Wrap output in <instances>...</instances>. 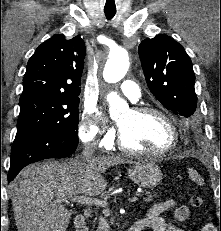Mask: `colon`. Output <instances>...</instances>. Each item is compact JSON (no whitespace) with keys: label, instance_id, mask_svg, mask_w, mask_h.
Here are the masks:
<instances>
[{"label":"colon","instance_id":"5ec220e1","mask_svg":"<svg viewBox=\"0 0 221 231\" xmlns=\"http://www.w3.org/2000/svg\"><path fill=\"white\" fill-rule=\"evenodd\" d=\"M189 202H190L191 206L194 208H200L203 205V199L198 194H191L189 196Z\"/></svg>","mask_w":221,"mask_h":231}]
</instances>
